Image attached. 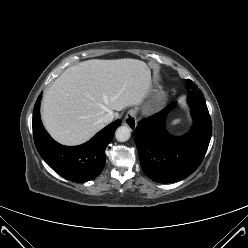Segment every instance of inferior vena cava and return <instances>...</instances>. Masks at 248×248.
Returning a JSON list of instances; mask_svg holds the SVG:
<instances>
[{"mask_svg":"<svg viewBox=\"0 0 248 248\" xmlns=\"http://www.w3.org/2000/svg\"><path fill=\"white\" fill-rule=\"evenodd\" d=\"M113 119H114V113H107L106 115H104L102 118H101V122L102 123H105V124H107V123H110V122H112L113 121Z\"/></svg>","mask_w":248,"mask_h":248,"instance_id":"inferior-vena-cava-1","label":"inferior vena cava"}]
</instances>
